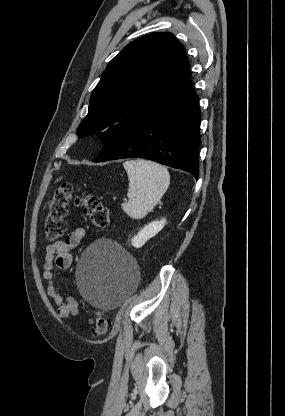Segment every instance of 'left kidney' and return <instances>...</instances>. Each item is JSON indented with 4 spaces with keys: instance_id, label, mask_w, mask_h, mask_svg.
Masks as SVG:
<instances>
[{
    "instance_id": "5707ae66",
    "label": "left kidney",
    "mask_w": 285,
    "mask_h": 416,
    "mask_svg": "<svg viewBox=\"0 0 285 416\" xmlns=\"http://www.w3.org/2000/svg\"><path fill=\"white\" fill-rule=\"evenodd\" d=\"M167 220L165 218H162L160 222H150L148 226H144L140 232H138L137 236H134L131 240L132 246L134 248H142L144 246L145 242L147 240H150V238H154L158 232H161L163 230Z\"/></svg>"
}]
</instances>
